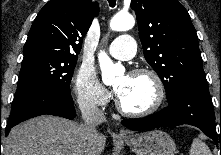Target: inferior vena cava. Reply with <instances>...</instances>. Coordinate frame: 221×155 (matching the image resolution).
Segmentation results:
<instances>
[{
    "label": "inferior vena cava",
    "instance_id": "1",
    "mask_svg": "<svg viewBox=\"0 0 221 155\" xmlns=\"http://www.w3.org/2000/svg\"><path fill=\"white\" fill-rule=\"evenodd\" d=\"M79 108L84 120L85 142L82 155H98L96 153L95 140L98 135L96 127L106 121L105 115L90 100H80Z\"/></svg>",
    "mask_w": 221,
    "mask_h": 155
}]
</instances>
